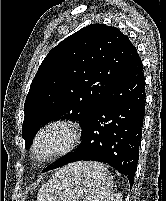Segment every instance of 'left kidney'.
<instances>
[{
	"instance_id": "obj_1",
	"label": "left kidney",
	"mask_w": 166,
	"mask_h": 201,
	"mask_svg": "<svg viewBox=\"0 0 166 201\" xmlns=\"http://www.w3.org/2000/svg\"><path fill=\"white\" fill-rule=\"evenodd\" d=\"M105 201H122V194L121 193L114 194L109 198L105 199Z\"/></svg>"
}]
</instances>
